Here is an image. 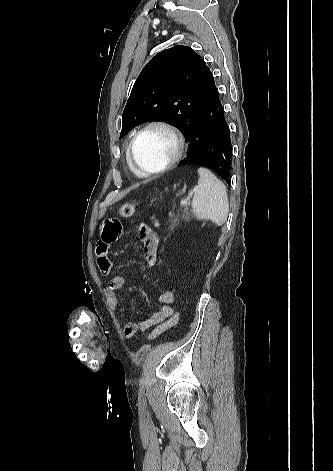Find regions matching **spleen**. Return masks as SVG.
<instances>
[{
	"mask_svg": "<svg viewBox=\"0 0 333 471\" xmlns=\"http://www.w3.org/2000/svg\"><path fill=\"white\" fill-rule=\"evenodd\" d=\"M199 180L192 209L199 220H211L217 226L225 223L229 204L225 185L207 168L198 169Z\"/></svg>",
	"mask_w": 333,
	"mask_h": 471,
	"instance_id": "1",
	"label": "spleen"
}]
</instances>
